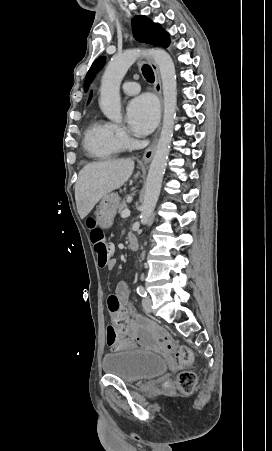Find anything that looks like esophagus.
<instances>
[{"instance_id": "34e87169", "label": "esophagus", "mask_w": 272, "mask_h": 451, "mask_svg": "<svg viewBox=\"0 0 272 451\" xmlns=\"http://www.w3.org/2000/svg\"><path fill=\"white\" fill-rule=\"evenodd\" d=\"M149 63L151 65L152 70H153L154 75H155L154 91L159 96V99H160L161 104H162V87H161V78H160L159 70H158V67H157L156 63L151 58H149ZM155 144H156V140L144 152V155L142 157L141 163L146 164V163H149L151 161V159L153 157V154H154V150H155Z\"/></svg>"}]
</instances>
